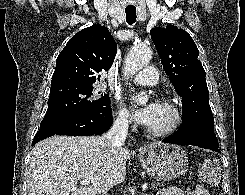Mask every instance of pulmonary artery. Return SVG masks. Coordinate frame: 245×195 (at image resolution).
Returning <instances> with one entry per match:
<instances>
[{
    "mask_svg": "<svg viewBox=\"0 0 245 195\" xmlns=\"http://www.w3.org/2000/svg\"><path fill=\"white\" fill-rule=\"evenodd\" d=\"M158 79L156 69L149 66L133 76L131 80L140 86H152L158 82Z\"/></svg>",
    "mask_w": 245,
    "mask_h": 195,
    "instance_id": "1",
    "label": "pulmonary artery"
}]
</instances>
